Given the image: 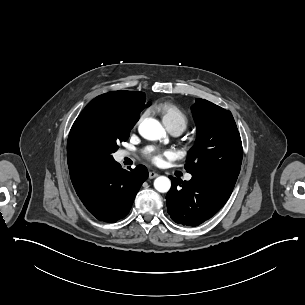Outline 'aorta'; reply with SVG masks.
<instances>
[{
  "label": "aorta",
  "mask_w": 305,
  "mask_h": 305,
  "mask_svg": "<svg viewBox=\"0 0 305 305\" xmlns=\"http://www.w3.org/2000/svg\"><path fill=\"white\" fill-rule=\"evenodd\" d=\"M140 135L147 140H159L165 136V130L159 121L145 118L139 125ZM154 187L158 192L166 193L171 187V181L166 176H159L154 180Z\"/></svg>",
  "instance_id": "aorta-1"
}]
</instances>
